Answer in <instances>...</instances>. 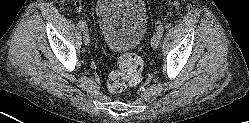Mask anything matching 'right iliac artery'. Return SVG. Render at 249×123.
Masks as SVG:
<instances>
[{
    "label": "right iliac artery",
    "instance_id": "obj_1",
    "mask_svg": "<svg viewBox=\"0 0 249 123\" xmlns=\"http://www.w3.org/2000/svg\"><path fill=\"white\" fill-rule=\"evenodd\" d=\"M78 26L80 27L81 30H87V25L83 21H79Z\"/></svg>",
    "mask_w": 249,
    "mask_h": 123
}]
</instances>
